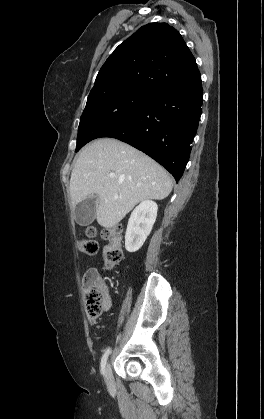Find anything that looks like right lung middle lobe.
I'll return each instance as SVG.
<instances>
[{
  "label": "right lung middle lobe",
  "mask_w": 264,
  "mask_h": 419,
  "mask_svg": "<svg viewBox=\"0 0 264 419\" xmlns=\"http://www.w3.org/2000/svg\"><path fill=\"white\" fill-rule=\"evenodd\" d=\"M153 92L129 85H114L91 91L80 119L76 152L89 141L121 123Z\"/></svg>",
  "instance_id": "dd1d6c3e"
}]
</instances>
